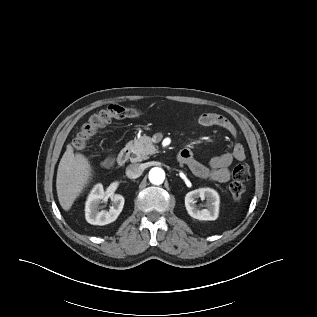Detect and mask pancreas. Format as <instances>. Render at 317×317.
<instances>
[{
    "instance_id": "obj_1",
    "label": "pancreas",
    "mask_w": 317,
    "mask_h": 317,
    "mask_svg": "<svg viewBox=\"0 0 317 317\" xmlns=\"http://www.w3.org/2000/svg\"><path fill=\"white\" fill-rule=\"evenodd\" d=\"M128 148L133 153L130 158L132 162L146 160L156 151L151 138L146 135L134 140L133 142H129Z\"/></svg>"
}]
</instances>
